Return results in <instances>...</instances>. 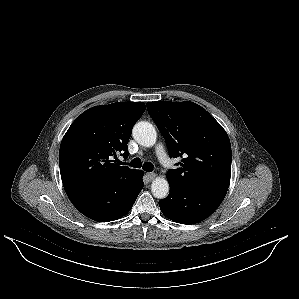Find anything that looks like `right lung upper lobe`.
Listing matches in <instances>:
<instances>
[{"instance_id":"cb5924a9","label":"right lung upper lobe","mask_w":299,"mask_h":299,"mask_svg":"<svg viewBox=\"0 0 299 299\" xmlns=\"http://www.w3.org/2000/svg\"><path fill=\"white\" fill-rule=\"evenodd\" d=\"M145 108L142 102H117L92 107L79 115L60 145L59 166L64 187L107 178L124 179L134 185L140 171L118 166L111 159L118 152L128 157L132 128Z\"/></svg>"}]
</instances>
